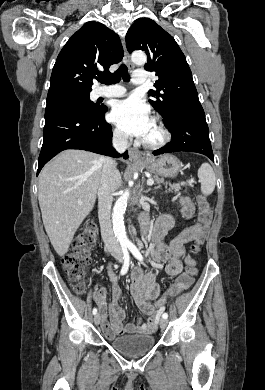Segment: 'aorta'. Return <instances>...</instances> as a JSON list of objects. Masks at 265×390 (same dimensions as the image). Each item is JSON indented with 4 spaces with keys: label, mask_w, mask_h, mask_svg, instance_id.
Returning a JSON list of instances; mask_svg holds the SVG:
<instances>
[{
    "label": "aorta",
    "mask_w": 265,
    "mask_h": 390,
    "mask_svg": "<svg viewBox=\"0 0 265 390\" xmlns=\"http://www.w3.org/2000/svg\"><path fill=\"white\" fill-rule=\"evenodd\" d=\"M131 60L136 65H143L147 61V57L143 52H134L131 56ZM130 191L126 190L117 199L112 213V225L115 237L117 241L123 247H128L131 243L127 237L125 225H124V213L127 207Z\"/></svg>",
    "instance_id": "1"
}]
</instances>
